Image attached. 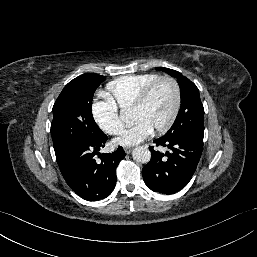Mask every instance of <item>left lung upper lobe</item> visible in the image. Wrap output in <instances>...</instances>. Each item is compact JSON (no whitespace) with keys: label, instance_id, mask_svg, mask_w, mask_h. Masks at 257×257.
I'll list each match as a JSON object with an SVG mask.
<instances>
[{"label":"left lung upper lobe","instance_id":"1","mask_svg":"<svg viewBox=\"0 0 257 257\" xmlns=\"http://www.w3.org/2000/svg\"><path fill=\"white\" fill-rule=\"evenodd\" d=\"M157 69L176 77L181 90L180 111L174 124L163 137L177 138L188 135L203 137L204 108L196 85L180 72L164 67H157Z\"/></svg>","mask_w":257,"mask_h":257}]
</instances>
